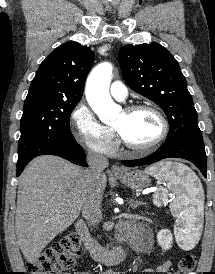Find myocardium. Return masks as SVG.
I'll use <instances>...</instances> for the list:
<instances>
[{
    "instance_id": "myocardium-1",
    "label": "myocardium",
    "mask_w": 215,
    "mask_h": 274,
    "mask_svg": "<svg viewBox=\"0 0 215 274\" xmlns=\"http://www.w3.org/2000/svg\"><path fill=\"white\" fill-rule=\"evenodd\" d=\"M138 110H149L153 112L159 119L161 124V131L160 134L157 136L156 139H154L152 142L145 144V145H135L130 142H128L122 134L115 128L114 131L116 132L120 142L129 150L139 152V153H145L149 152L153 149H155L157 146H159L168 136L169 134V122L163 111L158 108L157 106L149 103H137L132 104L124 108V111L126 113H133Z\"/></svg>"
}]
</instances>
